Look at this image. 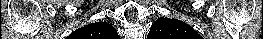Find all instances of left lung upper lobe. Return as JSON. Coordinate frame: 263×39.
<instances>
[{
  "instance_id": "obj_1",
  "label": "left lung upper lobe",
  "mask_w": 263,
  "mask_h": 39,
  "mask_svg": "<svg viewBox=\"0 0 263 39\" xmlns=\"http://www.w3.org/2000/svg\"><path fill=\"white\" fill-rule=\"evenodd\" d=\"M147 39H203L190 25L171 18H158Z\"/></svg>"
}]
</instances>
